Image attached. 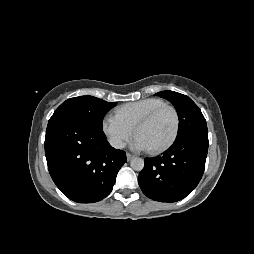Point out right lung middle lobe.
<instances>
[{"label":"right lung middle lobe","instance_id":"right-lung-middle-lobe-1","mask_svg":"<svg viewBox=\"0 0 254 254\" xmlns=\"http://www.w3.org/2000/svg\"><path fill=\"white\" fill-rule=\"evenodd\" d=\"M116 105L93 96H80L66 100L49 121L69 117L102 129L105 114Z\"/></svg>","mask_w":254,"mask_h":254}]
</instances>
